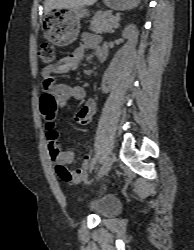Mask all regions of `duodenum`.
<instances>
[{"mask_svg": "<svg viewBox=\"0 0 194 250\" xmlns=\"http://www.w3.org/2000/svg\"><path fill=\"white\" fill-rule=\"evenodd\" d=\"M105 59H106V57H105V56H103V57H102V60H105Z\"/></svg>", "mask_w": 194, "mask_h": 250, "instance_id": "duodenum-1", "label": "duodenum"}]
</instances>
